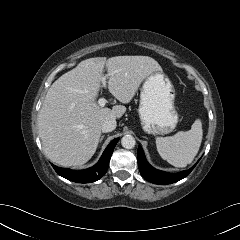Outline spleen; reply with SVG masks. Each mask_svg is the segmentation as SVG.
<instances>
[{
    "label": "spleen",
    "mask_w": 240,
    "mask_h": 240,
    "mask_svg": "<svg viewBox=\"0 0 240 240\" xmlns=\"http://www.w3.org/2000/svg\"><path fill=\"white\" fill-rule=\"evenodd\" d=\"M202 137V122L196 119L188 131H179L170 137H157V151L171 165L186 167L197 155Z\"/></svg>",
    "instance_id": "1"
}]
</instances>
